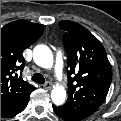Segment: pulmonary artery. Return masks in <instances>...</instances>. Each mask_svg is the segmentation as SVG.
<instances>
[{
  "mask_svg": "<svg viewBox=\"0 0 121 121\" xmlns=\"http://www.w3.org/2000/svg\"><path fill=\"white\" fill-rule=\"evenodd\" d=\"M54 73H55L57 80L62 79V77H63V64H62V60H61L60 55L57 56L55 66H54Z\"/></svg>",
  "mask_w": 121,
  "mask_h": 121,
  "instance_id": "e3ab8cb5",
  "label": "pulmonary artery"
}]
</instances>
